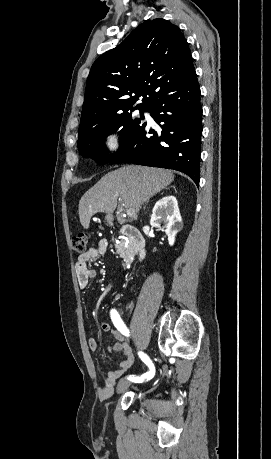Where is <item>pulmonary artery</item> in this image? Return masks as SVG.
Wrapping results in <instances>:
<instances>
[{
    "label": "pulmonary artery",
    "mask_w": 271,
    "mask_h": 459,
    "mask_svg": "<svg viewBox=\"0 0 271 459\" xmlns=\"http://www.w3.org/2000/svg\"><path fill=\"white\" fill-rule=\"evenodd\" d=\"M139 113H140V111L138 110V111H137V114H139ZM144 116H145L148 120H152V118H151V116H150L149 113L144 112Z\"/></svg>",
    "instance_id": "e3ab8cb5"
}]
</instances>
